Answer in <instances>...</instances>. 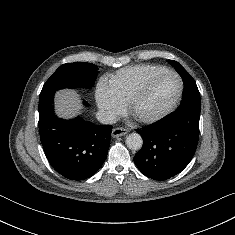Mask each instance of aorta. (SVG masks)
Returning <instances> with one entry per match:
<instances>
[{
  "mask_svg": "<svg viewBox=\"0 0 235 235\" xmlns=\"http://www.w3.org/2000/svg\"><path fill=\"white\" fill-rule=\"evenodd\" d=\"M126 145L131 150H139L142 147L143 140L138 133H131L126 137Z\"/></svg>",
  "mask_w": 235,
  "mask_h": 235,
  "instance_id": "762f6f07",
  "label": "aorta"
}]
</instances>
